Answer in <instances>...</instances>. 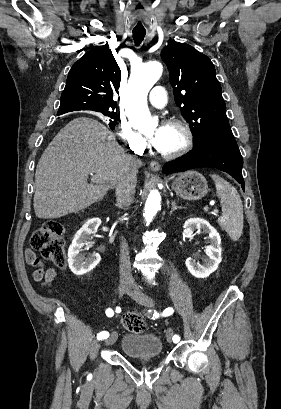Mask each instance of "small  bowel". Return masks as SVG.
<instances>
[{"label": "small bowel", "mask_w": 281, "mask_h": 409, "mask_svg": "<svg viewBox=\"0 0 281 409\" xmlns=\"http://www.w3.org/2000/svg\"><path fill=\"white\" fill-rule=\"evenodd\" d=\"M23 257L26 259L27 267H35L32 279L34 282H41L42 279L45 284L49 285L57 277V270L53 267L44 269L42 261L35 255L33 250H25ZM41 272V273H37Z\"/></svg>", "instance_id": "small-bowel-1"}]
</instances>
